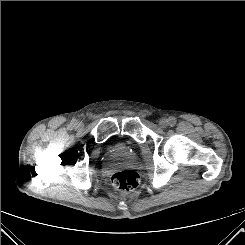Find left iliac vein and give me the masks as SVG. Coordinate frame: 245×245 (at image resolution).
Returning <instances> with one entry per match:
<instances>
[{
	"mask_svg": "<svg viewBox=\"0 0 245 245\" xmlns=\"http://www.w3.org/2000/svg\"><path fill=\"white\" fill-rule=\"evenodd\" d=\"M168 119H166V118H161L160 120H159V125H160V127H162V128H166L167 126H168Z\"/></svg>",
	"mask_w": 245,
	"mask_h": 245,
	"instance_id": "4c4485c4",
	"label": "left iliac vein"
}]
</instances>
